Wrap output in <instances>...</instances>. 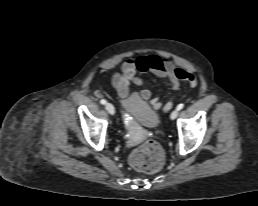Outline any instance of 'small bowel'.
Masks as SVG:
<instances>
[{"label":"small bowel","instance_id":"1","mask_svg":"<svg viewBox=\"0 0 258 206\" xmlns=\"http://www.w3.org/2000/svg\"><path fill=\"white\" fill-rule=\"evenodd\" d=\"M152 73L157 77L167 80L172 89L179 91L184 82L197 83L196 77L187 70L176 66L170 60L155 55L140 56L137 59H126L122 62L120 70L113 74L112 85L122 98L126 97L131 85L142 86L144 84L143 74ZM143 99L148 100L154 109L163 107L159 98H151V91L144 89L141 92ZM172 106V100L164 105L167 111Z\"/></svg>","mask_w":258,"mask_h":206}]
</instances>
